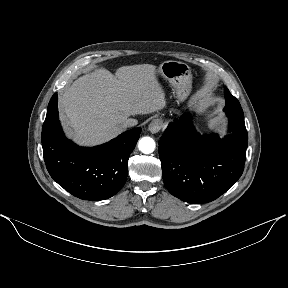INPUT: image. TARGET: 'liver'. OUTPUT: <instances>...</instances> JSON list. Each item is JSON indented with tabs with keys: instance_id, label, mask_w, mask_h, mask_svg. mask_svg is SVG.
I'll return each instance as SVG.
<instances>
[{
	"instance_id": "6515ba94",
	"label": "liver",
	"mask_w": 288,
	"mask_h": 288,
	"mask_svg": "<svg viewBox=\"0 0 288 288\" xmlns=\"http://www.w3.org/2000/svg\"><path fill=\"white\" fill-rule=\"evenodd\" d=\"M66 132L80 145L109 141L124 130L131 115L149 114L166 106L156 66H123L115 75L99 68L73 82L59 99Z\"/></svg>"
}]
</instances>
